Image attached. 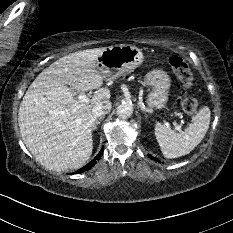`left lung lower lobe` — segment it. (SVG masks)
I'll list each match as a JSON object with an SVG mask.
<instances>
[{
    "label": "left lung lower lobe",
    "instance_id": "obj_1",
    "mask_svg": "<svg viewBox=\"0 0 233 233\" xmlns=\"http://www.w3.org/2000/svg\"><path fill=\"white\" fill-rule=\"evenodd\" d=\"M153 158V157H152ZM155 161H157V159L156 158H153Z\"/></svg>",
    "mask_w": 233,
    "mask_h": 233
}]
</instances>
